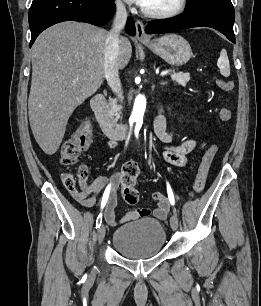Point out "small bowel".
I'll return each instance as SVG.
<instances>
[{
  "mask_svg": "<svg viewBox=\"0 0 261 306\" xmlns=\"http://www.w3.org/2000/svg\"><path fill=\"white\" fill-rule=\"evenodd\" d=\"M154 129L158 138L165 144L162 153L163 159L177 167L186 166L187 155L195 149L197 145L196 140L188 139L177 145L171 144L173 132L168 129L166 119L163 114H159L157 116L154 123ZM117 141L118 139H111L110 145L115 146ZM117 184L118 176L113 178L97 177L85 184L80 190L75 188L70 189V194L72 198L81 206L91 208L95 204L97 193L104 188L106 191L107 187L110 186L107 201L102 208H104V219L111 226H116L120 221L135 220L148 216L151 213L159 220L166 219L169 213V202L167 197L161 192H156L153 194V198L157 202V207L154 210L151 211L147 208L135 209L128 211L120 220L117 219L115 213L117 207Z\"/></svg>",
  "mask_w": 261,
  "mask_h": 306,
  "instance_id": "small-bowel-1",
  "label": "small bowel"
}]
</instances>
